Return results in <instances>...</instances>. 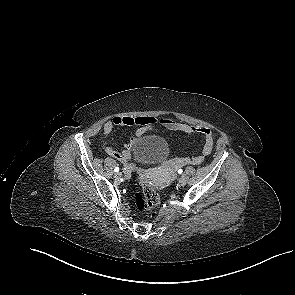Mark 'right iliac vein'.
<instances>
[{
  "label": "right iliac vein",
  "mask_w": 295,
  "mask_h": 295,
  "mask_svg": "<svg viewBox=\"0 0 295 295\" xmlns=\"http://www.w3.org/2000/svg\"><path fill=\"white\" fill-rule=\"evenodd\" d=\"M121 176H122V173H121V172H117V173L115 174L114 177H115L116 179H120Z\"/></svg>",
  "instance_id": "63e3f726"
}]
</instances>
